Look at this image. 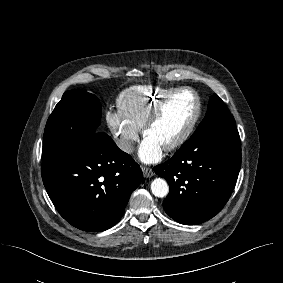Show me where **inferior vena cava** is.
<instances>
[{"mask_svg": "<svg viewBox=\"0 0 283 283\" xmlns=\"http://www.w3.org/2000/svg\"><path fill=\"white\" fill-rule=\"evenodd\" d=\"M117 146L124 152L131 153L134 150L133 141L120 138L116 140Z\"/></svg>", "mask_w": 283, "mask_h": 283, "instance_id": "602c4592", "label": "inferior vena cava"}]
</instances>
